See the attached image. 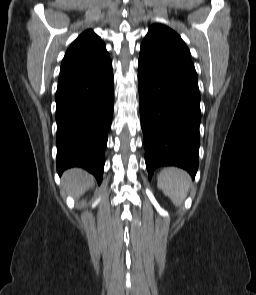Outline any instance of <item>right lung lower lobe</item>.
<instances>
[{
	"label": "right lung lower lobe",
	"instance_id": "98d812e1",
	"mask_svg": "<svg viewBox=\"0 0 256 295\" xmlns=\"http://www.w3.org/2000/svg\"><path fill=\"white\" fill-rule=\"evenodd\" d=\"M55 100L58 174L78 166L100 183L114 107L111 60L59 76Z\"/></svg>",
	"mask_w": 256,
	"mask_h": 295
}]
</instances>
